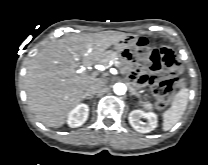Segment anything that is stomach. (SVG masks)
<instances>
[{
    "label": "stomach",
    "instance_id": "0dacf381",
    "mask_svg": "<svg viewBox=\"0 0 208 165\" xmlns=\"http://www.w3.org/2000/svg\"><path fill=\"white\" fill-rule=\"evenodd\" d=\"M137 41L138 39L136 37L126 36L122 40L116 42L114 46H115V49L120 52L121 49L123 48H128V49L133 48L136 45Z\"/></svg>",
    "mask_w": 208,
    "mask_h": 165
}]
</instances>
